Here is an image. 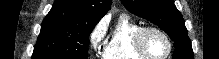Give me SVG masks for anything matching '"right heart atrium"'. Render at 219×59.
Here are the masks:
<instances>
[{"mask_svg":"<svg viewBox=\"0 0 219 59\" xmlns=\"http://www.w3.org/2000/svg\"><path fill=\"white\" fill-rule=\"evenodd\" d=\"M105 36V26L103 23H99L95 26L89 36V43L93 50L98 49Z\"/></svg>","mask_w":219,"mask_h":59,"instance_id":"1","label":"right heart atrium"}]
</instances>
